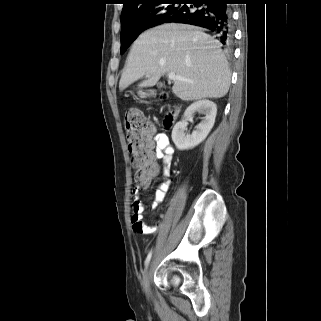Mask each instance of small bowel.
Instances as JSON below:
<instances>
[{
  "label": "small bowel",
  "instance_id": "c3829d8e",
  "mask_svg": "<svg viewBox=\"0 0 321 321\" xmlns=\"http://www.w3.org/2000/svg\"><path fill=\"white\" fill-rule=\"evenodd\" d=\"M173 154L174 147L166 134H155L153 138L150 139V155L155 172L151 178L138 182L137 186L132 192L133 214L131 216V223L133 230L137 233L153 234L158 230V226H149L142 221V214L144 212V205L142 203V190L146 189L150 185L152 178L158 175L161 171L162 182L156 190L155 199L152 204L153 208L158 207V205L164 201L166 194L171 187V181L169 177L171 173ZM157 160L161 161V170L157 164Z\"/></svg>",
  "mask_w": 321,
  "mask_h": 321
}]
</instances>
